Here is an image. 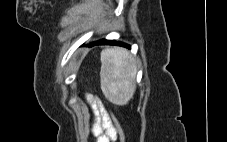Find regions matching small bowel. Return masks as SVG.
I'll use <instances>...</instances> for the list:
<instances>
[{
  "mask_svg": "<svg viewBox=\"0 0 227 142\" xmlns=\"http://www.w3.org/2000/svg\"><path fill=\"white\" fill-rule=\"evenodd\" d=\"M86 99L91 104L94 113L92 133L96 137V142L115 141L112 135L113 124L109 113L97 99L89 95L86 96Z\"/></svg>",
  "mask_w": 227,
  "mask_h": 142,
  "instance_id": "1",
  "label": "small bowel"
}]
</instances>
